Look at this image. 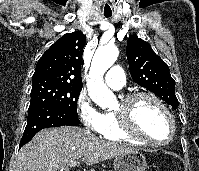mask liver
Segmentation results:
<instances>
[{
  "instance_id": "6515ba94",
  "label": "liver",
  "mask_w": 199,
  "mask_h": 171,
  "mask_svg": "<svg viewBox=\"0 0 199 171\" xmlns=\"http://www.w3.org/2000/svg\"><path fill=\"white\" fill-rule=\"evenodd\" d=\"M136 151L126 145L104 141L79 128H47L19 151L14 171H57L60 166L69 165L82 156L86 165H93Z\"/></svg>"
}]
</instances>
